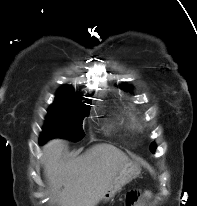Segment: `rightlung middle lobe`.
I'll list each match as a JSON object with an SVG mask.
<instances>
[{
    "label": "right lung middle lobe",
    "instance_id": "right-lung-middle-lobe-1",
    "mask_svg": "<svg viewBox=\"0 0 197 206\" xmlns=\"http://www.w3.org/2000/svg\"><path fill=\"white\" fill-rule=\"evenodd\" d=\"M90 103V101H88ZM90 106L80 103L74 96H57L48 110L40 144L61 137L77 141L84 136L82 122Z\"/></svg>",
    "mask_w": 197,
    "mask_h": 206
}]
</instances>
